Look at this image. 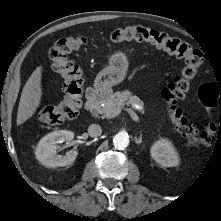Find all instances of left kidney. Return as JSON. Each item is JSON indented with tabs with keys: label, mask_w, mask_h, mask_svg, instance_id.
Listing matches in <instances>:
<instances>
[{
	"label": "left kidney",
	"mask_w": 221,
	"mask_h": 221,
	"mask_svg": "<svg viewBox=\"0 0 221 221\" xmlns=\"http://www.w3.org/2000/svg\"><path fill=\"white\" fill-rule=\"evenodd\" d=\"M150 153L152 158L161 166L174 167L179 164L178 153L172 143L166 138L156 141L152 145Z\"/></svg>",
	"instance_id": "left-kidney-1"
}]
</instances>
